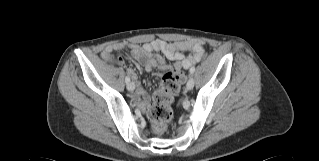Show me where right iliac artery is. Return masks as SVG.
<instances>
[{"label":"right iliac artery","mask_w":319,"mask_h":161,"mask_svg":"<svg viewBox=\"0 0 319 161\" xmlns=\"http://www.w3.org/2000/svg\"><path fill=\"white\" fill-rule=\"evenodd\" d=\"M125 81H126V83H129L130 82V77L126 76Z\"/></svg>","instance_id":"1"}]
</instances>
